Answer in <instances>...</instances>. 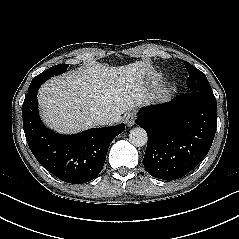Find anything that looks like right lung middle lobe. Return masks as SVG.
I'll list each match as a JSON object with an SVG mask.
<instances>
[{
    "label": "right lung middle lobe",
    "instance_id": "dd1d6c3e",
    "mask_svg": "<svg viewBox=\"0 0 239 239\" xmlns=\"http://www.w3.org/2000/svg\"><path fill=\"white\" fill-rule=\"evenodd\" d=\"M68 66L69 64H59V65L53 66L49 68L48 70L42 72L41 74L37 75L35 78H43L47 80L54 75H59L61 73H64L67 70Z\"/></svg>",
    "mask_w": 239,
    "mask_h": 239
}]
</instances>
